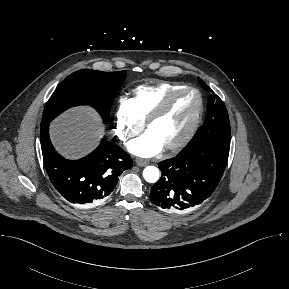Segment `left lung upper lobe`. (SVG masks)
<instances>
[{"mask_svg": "<svg viewBox=\"0 0 289 289\" xmlns=\"http://www.w3.org/2000/svg\"><path fill=\"white\" fill-rule=\"evenodd\" d=\"M198 79L201 86L211 93L207 99V113L202 127L182 152L204 142L230 143V123L225 104L200 78Z\"/></svg>", "mask_w": 289, "mask_h": 289, "instance_id": "left-lung-upper-lobe-1", "label": "left lung upper lobe"}]
</instances>
